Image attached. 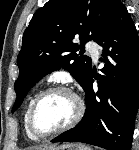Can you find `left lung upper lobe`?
<instances>
[{
	"mask_svg": "<svg viewBox=\"0 0 139 150\" xmlns=\"http://www.w3.org/2000/svg\"><path fill=\"white\" fill-rule=\"evenodd\" d=\"M117 0H49L33 15L24 32L17 58V99L12 112L45 75L61 67L84 88L91 73L89 57L77 54L84 42H95L104 32ZM80 39V45L74 42Z\"/></svg>",
	"mask_w": 139,
	"mask_h": 150,
	"instance_id": "obj_1",
	"label": "left lung upper lobe"
}]
</instances>
